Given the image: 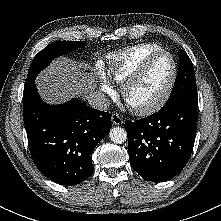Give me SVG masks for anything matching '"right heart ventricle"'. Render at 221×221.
<instances>
[{"label":"right heart ventricle","instance_id":"1","mask_svg":"<svg viewBox=\"0 0 221 221\" xmlns=\"http://www.w3.org/2000/svg\"><path fill=\"white\" fill-rule=\"evenodd\" d=\"M162 50L153 43L138 44L107 56L108 75L112 81L122 84L151 54Z\"/></svg>","mask_w":221,"mask_h":221}]
</instances>
